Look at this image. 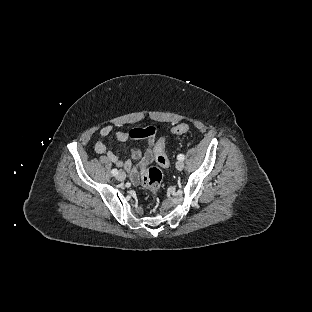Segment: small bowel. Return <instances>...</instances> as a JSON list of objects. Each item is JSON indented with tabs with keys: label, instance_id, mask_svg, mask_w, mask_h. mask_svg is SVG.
Wrapping results in <instances>:
<instances>
[{
	"label": "small bowel",
	"instance_id": "c3829d8e",
	"mask_svg": "<svg viewBox=\"0 0 312 312\" xmlns=\"http://www.w3.org/2000/svg\"><path fill=\"white\" fill-rule=\"evenodd\" d=\"M140 129L141 128H135L130 131L115 132V138L119 142H128L129 140H132V139H145L147 141L148 146L144 152L140 148H135L131 151V157L128 159H124V160L120 159L112 151L108 150L104 142V139L112 133L113 127L111 125H105L100 129L99 131L100 139H98L94 143V150L98 154L104 155L109 162L115 164L116 166L123 168L128 173L130 181L134 185H137L140 182V175H139L140 168L149 165L156 159V156L154 154L155 144L152 138L153 134H149L148 137L143 138L139 134ZM137 160H140V163L134 164V161H137Z\"/></svg>",
	"mask_w": 312,
	"mask_h": 312
}]
</instances>
